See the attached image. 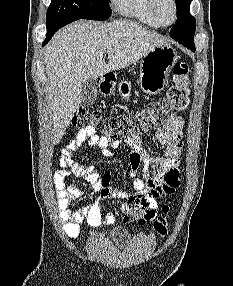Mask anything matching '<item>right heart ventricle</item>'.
Wrapping results in <instances>:
<instances>
[{
  "label": "right heart ventricle",
  "mask_w": 233,
  "mask_h": 286,
  "mask_svg": "<svg viewBox=\"0 0 233 286\" xmlns=\"http://www.w3.org/2000/svg\"><path fill=\"white\" fill-rule=\"evenodd\" d=\"M112 3L120 15L133 18L152 28L160 27L151 14L149 0H112Z\"/></svg>",
  "instance_id": "obj_1"
}]
</instances>
